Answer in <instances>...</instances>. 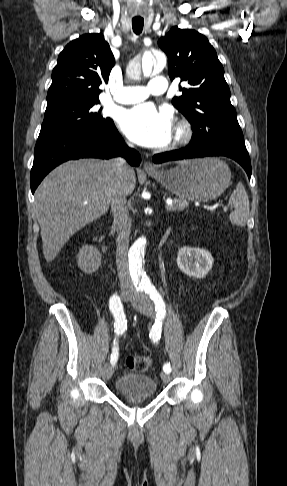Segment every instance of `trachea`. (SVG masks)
<instances>
[{
  "mask_svg": "<svg viewBox=\"0 0 287 486\" xmlns=\"http://www.w3.org/2000/svg\"><path fill=\"white\" fill-rule=\"evenodd\" d=\"M144 25V20L141 18L132 20V28L135 34H140L142 32Z\"/></svg>",
  "mask_w": 287,
  "mask_h": 486,
  "instance_id": "obj_1",
  "label": "trachea"
}]
</instances>
